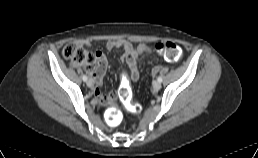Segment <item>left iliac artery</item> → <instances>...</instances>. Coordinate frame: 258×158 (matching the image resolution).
<instances>
[{
  "label": "left iliac artery",
  "mask_w": 258,
  "mask_h": 158,
  "mask_svg": "<svg viewBox=\"0 0 258 158\" xmlns=\"http://www.w3.org/2000/svg\"><path fill=\"white\" fill-rule=\"evenodd\" d=\"M157 80L161 83V82H162V77L159 76V77L157 78Z\"/></svg>",
  "instance_id": "44dca946"
}]
</instances>
